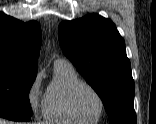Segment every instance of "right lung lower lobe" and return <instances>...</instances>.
Listing matches in <instances>:
<instances>
[{
	"label": "right lung lower lobe",
	"instance_id": "98d812e1",
	"mask_svg": "<svg viewBox=\"0 0 156 124\" xmlns=\"http://www.w3.org/2000/svg\"><path fill=\"white\" fill-rule=\"evenodd\" d=\"M0 117L13 120V121H29L30 120V117H27L21 114L12 113V112L2 111V110H0Z\"/></svg>",
	"mask_w": 156,
	"mask_h": 124
}]
</instances>
